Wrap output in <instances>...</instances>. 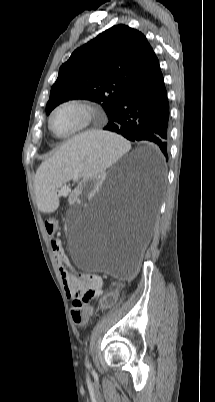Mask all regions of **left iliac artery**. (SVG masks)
Here are the masks:
<instances>
[{"instance_id":"1","label":"left iliac artery","mask_w":215,"mask_h":402,"mask_svg":"<svg viewBox=\"0 0 215 402\" xmlns=\"http://www.w3.org/2000/svg\"><path fill=\"white\" fill-rule=\"evenodd\" d=\"M86 366L90 367V364H89V361H88L87 357H86Z\"/></svg>"}]
</instances>
